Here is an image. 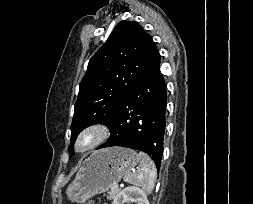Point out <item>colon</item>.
<instances>
[{
	"label": "colon",
	"instance_id": "5ec220e1",
	"mask_svg": "<svg viewBox=\"0 0 253 204\" xmlns=\"http://www.w3.org/2000/svg\"><path fill=\"white\" fill-rule=\"evenodd\" d=\"M87 204H92L91 202H88Z\"/></svg>",
	"mask_w": 253,
	"mask_h": 204
}]
</instances>
